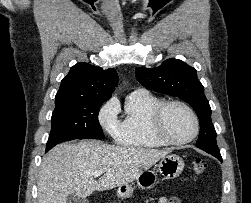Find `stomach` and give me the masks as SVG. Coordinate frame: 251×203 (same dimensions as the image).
Listing matches in <instances>:
<instances>
[{"label":"stomach","mask_w":251,"mask_h":203,"mask_svg":"<svg viewBox=\"0 0 251 203\" xmlns=\"http://www.w3.org/2000/svg\"><path fill=\"white\" fill-rule=\"evenodd\" d=\"M184 169V161L175 154L164 156L159 164L157 172L154 170H145L136 179L137 185L141 189H150L158 183L157 173L161 174L165 179H174L178 177ZM134 187L132 185H122L117 190L118 197L130 198L133 195Z\"/></svg>","instance_id":"1"}]
</instances>
